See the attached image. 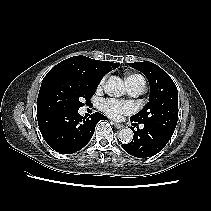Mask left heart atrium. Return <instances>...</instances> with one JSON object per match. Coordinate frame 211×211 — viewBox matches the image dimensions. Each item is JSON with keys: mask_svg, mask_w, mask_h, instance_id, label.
Wrapping results in <instances>:
<instances>
[{"mask_svg": "<svg viewBox=\"0 0 211 211\" xmlns=\"http://www.w3.org/2000/svg\"><path fill=\"white\" fill-rule=\"evenodd\" d=\"M102 111L113 119H119L123 115L130 114L134 111L132 103L116 99H105L101 102Z\"/></svg>", "mask_w": 211, "mask_h": 211, "instance_id": "39dd6f15", "label": "left heart atrium"}]
</instances>
